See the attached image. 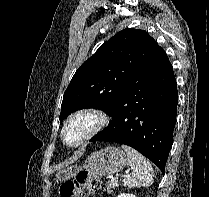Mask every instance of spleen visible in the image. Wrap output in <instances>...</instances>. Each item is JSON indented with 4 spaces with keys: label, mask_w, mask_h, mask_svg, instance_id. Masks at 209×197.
I'll use <instances>...</instances> for the list:
<instances>
[{
    "label": "spleen",
    "mask_w": 209,
    "mask_h": 197,
    "mask_svg": "<svg viewBox=\"0 0 209 197\" xmlns=\"http://www.w3.org/2000/svg\"><path fill=\"white\" fill-rule=\"evenodd\" d=\"M127 154V165L132 170L123 179V185L129 188L149 187L153 184L154 171L151 163L135 149L122 145Z\"/></svg>",
    "instance_id": "1"
}]
</instances>
